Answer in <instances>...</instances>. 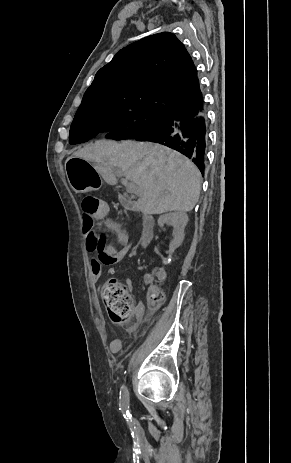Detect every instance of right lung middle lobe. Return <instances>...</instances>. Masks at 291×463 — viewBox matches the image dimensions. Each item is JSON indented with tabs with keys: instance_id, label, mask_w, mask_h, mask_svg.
Segmentation results:
<instances>
[{
	"instance_id": "obj_1",
	"label": "right lung middle lobe",
	"mask_w": 291,
	"mask_h": 463,
	"mask_svg": "<svg viewBox=\"0 0 291 463\" xmlns=\"http://www.w3.org/2000/svg\"><path fill=\"white\" fill-rule=\"evenodd\" d=\"M165 115L129 102H109L78 109L70 127V143L86 142L100 132L107 138L135 139L160 126Z\"/></svg>"
}]
</instances>
